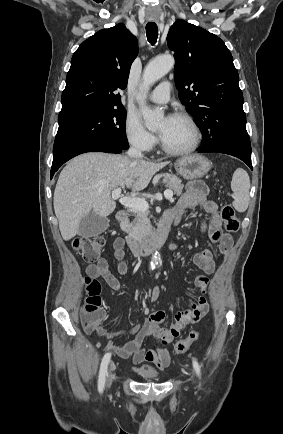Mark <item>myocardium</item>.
I'll return each instance as SVG.
<instances>
[{
	"instance_id": "myocardium-1",
	"label": "myocardium",
	"mask_w": 283,
	"mask_h": 434,
	"mask_svg": "<svg viewBox=\"0 0 283 434\" xmlns=\"http://www.w3.org/2000/svg\"><path fill=\"white\" fill-rule=\"evenodd\" d=\"M172 117L180 118L188 124V126L191 130V134H192L191 142L188 146H186L184 148L176 149V148L169 147L162 139L161 140L162 149L166 153H168L170 155H174V156L187 155V154L194 152L197 149V147L199 146L200 139H201V133H200V129L198 127V124L196 123V121L194 120V118L190 114L183 112V111H178V112L174 113Z\"/></svg>"
}]
</instances>
